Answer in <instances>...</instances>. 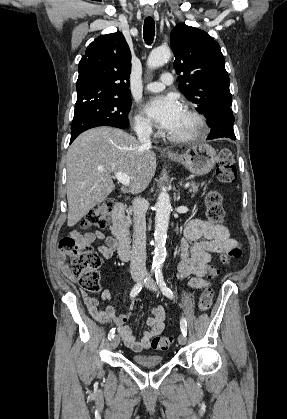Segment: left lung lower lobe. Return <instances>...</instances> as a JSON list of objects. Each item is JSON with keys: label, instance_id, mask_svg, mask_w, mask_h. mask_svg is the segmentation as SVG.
<instances>
[{"label": "left lung lower lobe", "instance_id": "1", "mask_svg": "<svg viewBox=\"0 0 287 419\" xmlns=\"http://www.w3.org/2000/svg\"><path fill=\"white\" fill-rule=\"evenodd\" d=\"M234 121L235 118L231 108L219 113L216 121L211 126H209L211 131L207 137V140L216 138H230L232 140H236L233 130Z\"/></svg>", "mask_w": 287, "mask_h": 419}]
</instances>
